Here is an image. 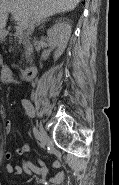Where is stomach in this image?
Segmentation results:
<instances>
[{
  "label": "stomach",
  "instance_id": "0dacf381",
  "mask_svg": "<svg viewBox=\"0 0 119 185\" xmlns=\"http://www.w3.org/2000/svg\"><path fill=\"white\" fill-rule=\"evenodd\" d=\"M7 33L3 30L0 29V40H3L6 37Z\"/></svg>",
  "mask_w": 119,
  "mask_h": 185
}]
</instances>
